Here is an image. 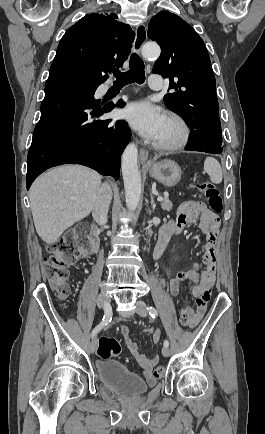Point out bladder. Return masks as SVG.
<instances>
[{
  "mask_svg": "<svg viewBox=\"0 0 265 434\" xmlns=\"http://www.w3.org/2000/svg\"><path fill=\"white\" fill-rule=\"evenodd\" d=\"M96 370L102 382L123 398L135 399L148 390V385L143 379L117 360H99Z\"/></svg>",
  "mask_w": 265,
  "mask_h": 434,
  "instance_id": "obj_1",
  "label": "bladder"
}]
</instances>
